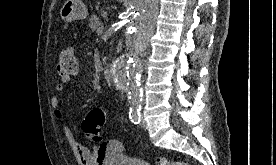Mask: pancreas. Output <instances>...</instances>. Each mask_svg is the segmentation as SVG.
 Masks as SVG:
<instances>
[{
	"label": "pancreas",
	"mask_w": 276,
	"mask_h": 165,
	"mask_svg": "<svg viewBox=\"0 0 276 165\" xmlns=\"http://www.w3.org/2000/svg\"><path fill=\"white\" fill-rule=\"evenodd\" d=\"M102 25H103L102 20L100 18H98L96 15H93L89 19V28L92 31H95V30L99 29Z\"/></svg>",
	"instance_id": "pancreas-1"
}]
</instances>
